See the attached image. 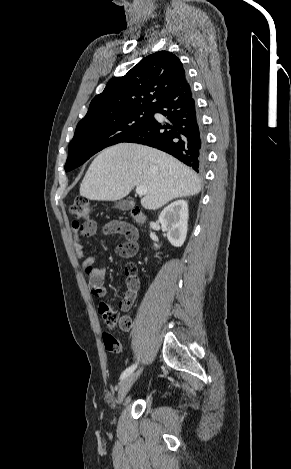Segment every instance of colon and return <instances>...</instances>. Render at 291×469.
<instances>
[{"instance_id": "colon-1", "label": "colon", "mask_w": 291, "mask_h": 469, "mask_svg": "<svg viewBox=\"0 0 291 469\" xmlns=\"http://www.w3.org/2000/svg\"><path fill=\"white\" fill-rule=\"evenodd\" d=\"M71 213L79 220L84 221L83 225H86L89 222L92 206L89 200L85 197H77L74 203L71 206ZM132 217L141 221L143 219L142 212L139 208H134L132 210ZM136 250L135 245L128 241L127 243L121 244L118 247V251L121 255H130L133 254ZM137 266L134 263H128L125 266V273L127 276V295L124 297L121 302V308L126 310L130 308L131 304L134 301V295L137 293L139 288V282L137 278ZM108 302L103 300L99 306V311L103 315V319L106 325L109 328H114L116 325H122L126 328L131 327V320L128 317H119L118 313L109 308ZM103 343L105 349L111 353H118L121 349L120 342L118 339L109 332L103 333Z\"/></svg>"}]
</instances>
